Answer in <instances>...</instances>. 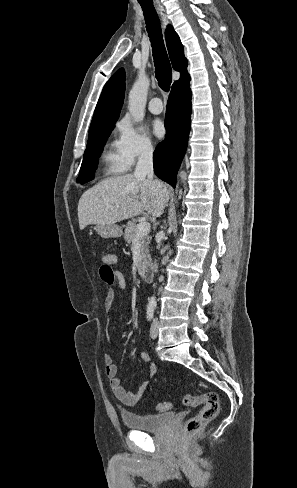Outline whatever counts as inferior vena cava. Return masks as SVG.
<instances>
[{
	"instance_id": "obj_1",
	"label": "inferior vena cava",
	"mask_w": 297,
	"mask_h": 488,
	"mask_svg": "<svg viewBox=\"0 0 297 488\" xmlns=\"http://www.w3.org/2000/svg\"><path fill=\"white\" fill-rule=\"evenodd\" d=\"M134 175L136 177L147 176L148 180L153 181V148L151 145H144L141 149L138 162L135 167ZM159 185L160 182L156 181Z\"/></svg>"
}]
</instances>
